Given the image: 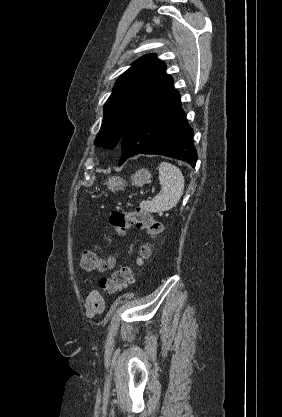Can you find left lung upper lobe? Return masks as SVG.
Wrapping results in <instances>:
<instances>
[{
    "mask_svg": "<svg viewBox=\"0 0 282 417\" xmlns=\"http://www.w3.org/2000/svg\"><path fill=\"white\" fill-rule=\"evenodd\" d=\"M166 65L149 54L134 62L116 81L104 105V118L96 137L97 146L114 149L120 142L132 112L160 85L166 77Z\"/></svg>",
    "mask_w": 282,
    "mask_h": 417,
    "instance_id": "obj_1",
    "label": "left lung upper lobe"
}]
</instances>
